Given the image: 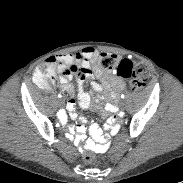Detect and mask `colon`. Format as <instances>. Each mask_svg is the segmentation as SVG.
Here are the masks:
<instances>
[{
  "label": "colon",
  "mask_w": 183,
  "mask_h": 183,
  "mask_svg": "<svg viewBox=\"0 0 183 183\" xmlns=\"http://www.w3.org/2000/svg\"><path fill=\"white\" fill-rule=\"evenodd\" d=\"M98 62L104 70H112L118 78L127 81L132 91L141 90L149 77V68L146 64L122 59L115 54L101 53ZM54 74L52 67L43 65L34 72L33 78L40 88L49 89ZM85 159L88 162H93L96 159V154L93 151H88L85 154Z\"/></svg>",
  "instance_id": "colon-1"
}]
</instances>
